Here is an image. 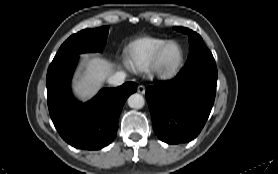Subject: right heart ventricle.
Listing matches in <instances>:
<instances>
[{
  "label": "right heart ventricle",
  "instance_id": "1",
  "mask_svg": "<svg viewBox=\"0 0 278 174\" xmlns=\"http://www.w3.org/2000/svg\"><path fill=\"white\" fill-rule=\"evenodd\" d=\"M167 41L157 37H142L133 41L128 47L131 65L137 70L149 68L155 52Z\"/></svg>",
  "mask_w": 278,
  "mask_h": 174
}]
</instances>
